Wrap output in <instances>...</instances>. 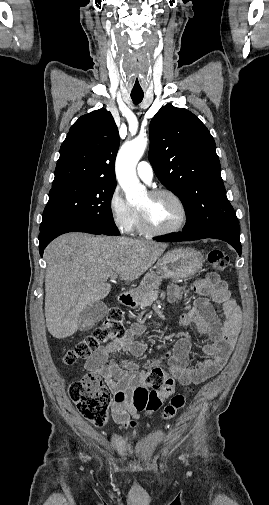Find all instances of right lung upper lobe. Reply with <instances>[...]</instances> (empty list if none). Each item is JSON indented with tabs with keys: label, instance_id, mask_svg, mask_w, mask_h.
Masks as SVG:
<instances>
[{
	"label": "right lung upper lobe",
	"instance_id": "right-lung-upper-lobe-1",
	"mask_svg": "<svg viewBox=\"0 0 269 505\" xmlns=\"http://www.w3.org/2000/svg\"><path fill=\"white\" fill-rule=\"evenodd\" d=\"M119 134L109 111L102 108L81 116L61 145L52 187L71 183H115Z\"/></svg>",
	"mask_w": 269,
	"mask_h": 505
}]
</instances>
